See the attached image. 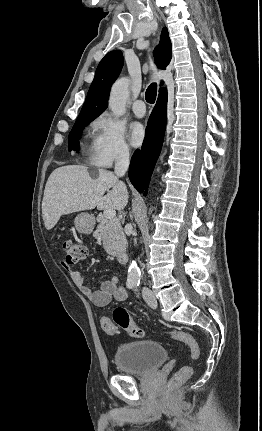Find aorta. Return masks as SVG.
<instances>
[{"mask_svg":"<svg viewBox=\"0 0 262 431\" xmlns=\"http://www.w3.org/2000/svg\"><path fill=\"white\" fill-rule=\"evenodd\" d=\"M129 79L122 77L111 87L108 106L112 113L120 117L126 112V102L129 97ZM141 272L137 262L133 260L128 269V282L136 285L140 281Z\"/></svg>","mask_w":262,"mask_h":431,"instance_id":"aorta-1","label":"aorta"}]
</instances>
